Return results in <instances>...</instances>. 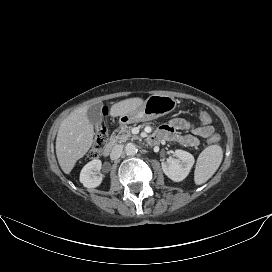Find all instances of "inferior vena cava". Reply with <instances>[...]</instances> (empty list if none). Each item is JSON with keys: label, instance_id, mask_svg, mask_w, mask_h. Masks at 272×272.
<instances>
[{"label": "inferior vena cava", "instance_id": "602c4592", "mask_svg": "<svg viewBox=\"0 0 272 272\" xmlns=\"http://www.w3.org/2000/svg\"><path fill=\"white\" fill-rule=\"evenodd\" d=\"M122 151H123V145L114 146L111 153H110L111 160L118 159L121 156Z\"/></svg>", "mask_w": 272, "mask_h": 272}]
</instances>
